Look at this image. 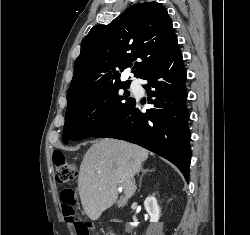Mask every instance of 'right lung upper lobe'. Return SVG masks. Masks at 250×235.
Listing matches in <instances>:
<instances>
[{"label": "right lung upper lobe", "instance_id": "1", "mask_svg": "<svg viewBox=\"0 0 250 235\" xmlns=\"http://www.w3.org/2000/svg\"><path fill=\"white\" fill-rule=\"evenodd\" d=\"M176 41L172 20L157 2L132 5L110 24L94 26L81 42L68 103L107 86H129L130 80L120 81L123 69L140 59L134 77H144Z\"/></svg>", "mask_w": 250, "mask_h": 235}]
</instances>
